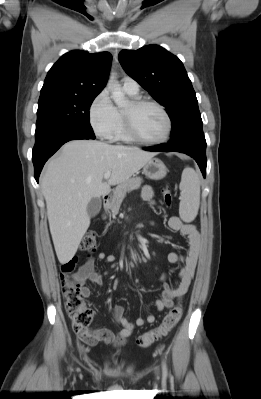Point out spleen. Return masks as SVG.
Segmentation results:
<instances>
[{
  "label": "spleen",
  "mask_w": 261,
  "mask_h": 399,
  "mask_svg": "<svg viewBox=\"0 0 261 399\" xmlns=\"http://www.w3.org/2000/svg\"><path fill=\"white\" fill-rule=\"evenodd\" d=\"M181 201L179 215L185 222H192L198 214L200 205V178L198 173L186 167L181 176L179 185Z\"/></svg>",
  "instance_id": "obj_1"
}]
</instances>
